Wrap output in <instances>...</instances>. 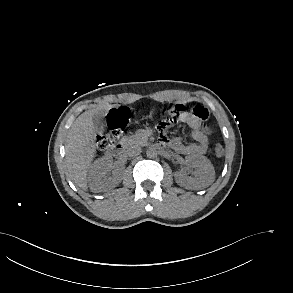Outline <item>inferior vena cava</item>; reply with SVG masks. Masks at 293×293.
Returning a JSON list of instances; mask_svg holds the SVG:
<instances>
[{
	"instance_id": "602c4592",
	"label": "inferior vena cava",
	"mask_w": 293,
	"mask_h": 293,
	"mask_svg": "<svg viewBox=\"0 0 293 293\" xmlns=\"http://www.w3.org/2000/svg\"><path fill=\"white\" fill-rule=\"evenodd\" d=\"M140 153H141V148L139 147L129 148L126 151V155L130 157L139 155Z\"/></svg>"
}]
</instances>
